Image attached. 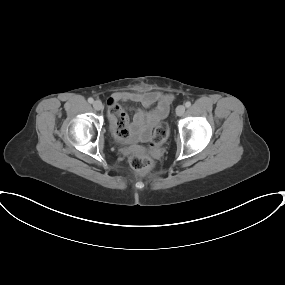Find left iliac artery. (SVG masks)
Returning a JSON list of instances; mask_svg holds the SVG:
<instances>
[{"mask_svg": "<svg viewBox=\"0 0 285 285\" xmlns=\"http://www.w3.org/2000/svg\"><path fill=\"white\" fill-rule=\"evenodd\" d=\"M185 106H186L187 108H189V107L191 106V102L187 101V102L185 103Z\"/></svg>", "mask_w": 285, "mask_h": 285, "instance_id": "left-iliac-artery-1", "label": "left iliac artery"}]
</instances>
